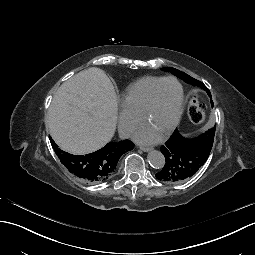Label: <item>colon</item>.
Masks as SVG:
<instances>
[{
	"label": "colon",
	"mask_w": 255,
	"mask_h": 255,
	"mask_svg": "<svg viewBox=\"0 0 255 255\" xmlns=\"http://www.w3.org/2000/svg\"><path fill=\"white\" fill-rule=\"evenodd\" d=\"M188 115L195 124H201L206 119L204 107L201 104L199 96L196 92H192L190 95L188 103Z\"/></svg>",
	"instance_id": "colon-1"
}]
</instances>
